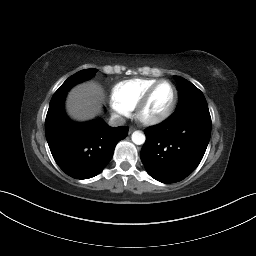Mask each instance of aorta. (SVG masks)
Wrapping results in <instances>:
<instances>
[{
	"instance_id": "1",
	"label": "aorta",
	"mask_w": 256,
	"mask_h": 256,
	"mask_svg": "<svg viewBox=\"0 0 256 256\" xmlns=\"http://www.w3.org/2000/svg\"><path fill=\"white\" fill-rule=\"evenodd\" d=\"M131 138L136 145H142L145 142V135L140 131H134Z\"/></svg>"
}]
</instances>
